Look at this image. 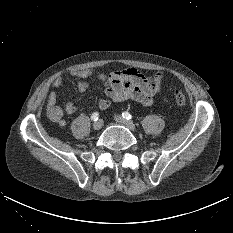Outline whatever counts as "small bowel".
<instances>
[{
    "mask_svg": "<svg viewBox=\"0 0 233 233\" xmlns=\"http://www.w3.org/2000/svg\"><path fill=\"white\" fill-rule=\"evenodd\" d=\"M78 78L77 89L85 92L89 87L91 79H97L103 83L107 98L98 101V107L102 110L108 109L113 102L126 100L136 101L144 106H151L155 97L160 93L163 82V74L156 72L145 75L134 67L113 70L110 72H99L94 69H83L72 72ZM64 85L62 78H56L52 82L55 88ZM59 94L51 92L46 101V114L49 120L61 127L66 125L65 114L72 115L76 112V106L68 102L64 108L57 105Z\"/></svg>",
    "mask_w": 233,
    "mask_h": 233,
    "instance_id": "1",
    "label": "small bowel"
}]
</instances>
